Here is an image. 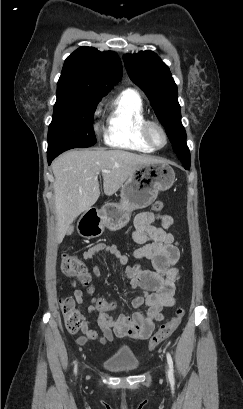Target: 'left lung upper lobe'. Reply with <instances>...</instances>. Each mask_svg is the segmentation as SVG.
<instances>
[{
	"mask_svg": "<svg viewBox=\"0 0 243 409\" xmlns=\"http://www.w3.org/2000/svg\"><path fill=\"white\" fill-rule=\"evenodd\" d=\"M123 61L131 80L147 95L159 121L163 124L173 150L183 166H190L186 132L181 123L177 86L167 65L152 51L124 55Z\"/></svg>",
	"mask_w": 243,
	"mask_h": 409,
	"instance_id": "5c2ea615",
	"label": "left lung upper lobe"
}]
</instances>
